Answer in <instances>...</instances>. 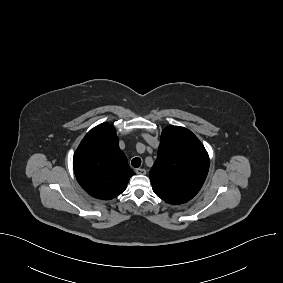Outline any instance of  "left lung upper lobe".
<instances>
[{
	"instance_id": "obj_1",
	"label": "left lung upper lobe",
	"mask_w": 283,
	"mask_h": 283,
	"mask_svg": "<svg viewBox=\"0 0 283 283\" xmlns=\"http://www.w3.org/2000/svg\"><path fill=\"white\" fill-rule=\"evenodd\" d=\"M208 170V153L190 130L170 125L162 131L158 157L149 175L157 196L169 204L191 200Z\"/></svg>"
}]
</instances>
